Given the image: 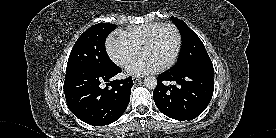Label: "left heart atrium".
I'll return each instance as SVG.
<instances>
[{"instance_id": "left-heart-atrium-1", "label": "left heart atrium", "mask_w": 276, "mask_h": 138, "mask_svg": "<svg viewBox=\"0 0 276 138\" xmlns=\"http://www.w3.org/2000/svg\"><path fill=\"white\" fill-rule=\"evenodd\" d=\"M161 68L159 63L155 61L152 57L147 55H142L141 57L131 61L127 67L126 71L131 75H145L158 71Z\"/></svg>"}]
</instances>
